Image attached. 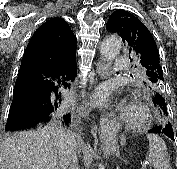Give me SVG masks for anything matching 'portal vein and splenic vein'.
I'll use <instances>...</instances> for the list:
<instances>
[{"label": "portal vein and splenic vein", "instance_id": "obj_1", "mask_svg": "<svg viewBox=\"0 0 177 169\" xmlns=\"http://www.w3.org/2000/svg\"><path fill=\"white\" fill-rule=\"evenodd\" d=\"M142 169H147V163L142 164Z\"/></svg>", "mask_w": 177, "mask_h": 169}]
</instances>
